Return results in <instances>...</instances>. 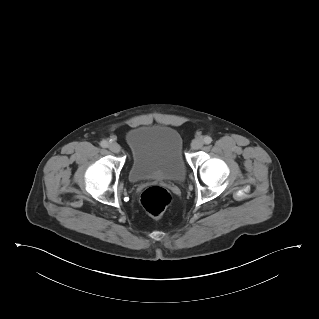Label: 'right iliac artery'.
<instances>
[{
	"instance_id": "right-iliac-artery-1",
	"label": "right iliac artery",
	"mask_w": 319,
	"mask_h": 319,
	"mask_svg": "<svg viewBox=\"0 0 319 319\" xmlns=\"http://www.w3.org/2000/svg\"><path fill=\"white\" fill-rule=\"evenodd\" d=\"M100 145L103 148H107L109 146V143L106 140H103V141H101Z\"/></svg>"
}]
</instances>
